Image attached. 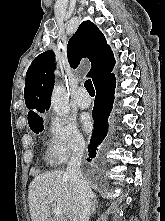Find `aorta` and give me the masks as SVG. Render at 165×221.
I'll list each match as a JSON object with an SVG mask.
<instances>
[{"mask_svg":"<svg viewBox=\"0 0 165 221\" xmlns=\"http://www.w3.org/2000/svg\"><path fill=\"white\" fill-rule=\"evenodd\" d=\"M51 104L58 116H66L69 113V104L66 90L62 85H56L51 95Z\"/></svg>","mask_w":165,"mask_h":221,"instance_id":"762f6f07","label":"aorta"}]
</instances>
